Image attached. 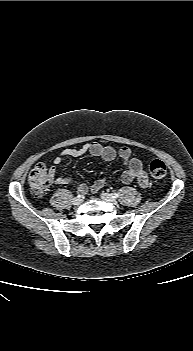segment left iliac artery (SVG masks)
Listing matches in <instances>:
<instances>
[{
	"label": "left iliac artery",
	"mask_w": 193,
	"mask_h": 351,
	"mask_svg": "<svg viewBox=\"0 0 193 351\" xmlns=\"http://www.w3.org/2000/svg\"><path fill=\"white\" fill-rule=\"evenodd\" d=\"M111 196H112L113 198H117V197L119 196V193L113 192V193H111Z\"/></svg>",
	"instance_id": "obj_1"
}]
</instances>
